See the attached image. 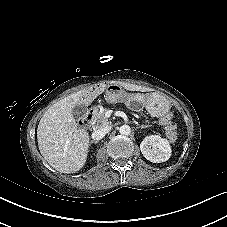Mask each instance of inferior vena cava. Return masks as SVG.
<instances>
[{"mask_svg": "<svg viewBox=\"0 0 227 227\" xmlns=\"http://www.w3.org/2000/svg\"><path fill=\"white\" fill-rule=\"evenodd\" d=\"M109 131H110L109 127H104V128H100L98 130H95L92 133V139L93 140H101Z\"/></svg>", "mask_w": 227, "mask_h": 227, "instance_id": "obj_1", "label": "inferior vena cava"}]
</instances>
